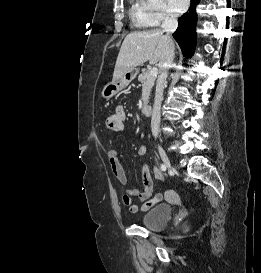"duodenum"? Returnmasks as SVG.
I'll return each mask as SVG.
<instances>
[{
    "label": "duodenum",
    "mask_w": 261,
    "mask_h": 273,
    "mask_svg": "<svg viewBox=\"0 0 261 273\" xmlns=\"http://www.w3.org/2000/svg\"><path fill=\"white\" fill-rule=\"evenodd\" d=\"M142 113L147 116L151 115L152 107L149 103H145L142 105Z\"/></svg>",
    "instance_id": "1"
}]
</instances>
